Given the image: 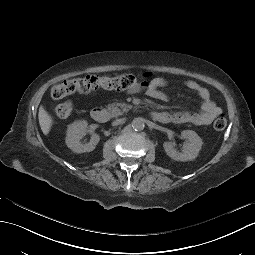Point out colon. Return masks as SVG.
<instances>
[{
    "label": "colon",
    "instance_id": "colon-1",
    "mask_svg": "<svg viewBox=\"0 0 255 255\" xmlns=\"http://www.w3.org/2000/svg\"><path fill=\"white\" fill-rule=\"evenodd\" d=\"M149 74H144L142 77H137L131 73H124L112 77L87 75L80 79L66 80L55 85L51 89V96L54 99H61L73 93H88L97 89H118L125 90L133 88L143 82L149 77ZM73 111V104L71 102H63L58 104L54 112L60 118H66L71 115ZM218 131L224 130L227 126L226 117L219 115L213 124Z\"/></svg>",
    "mask_w": 255,
    "mask_h": 255
}]
</instances>
